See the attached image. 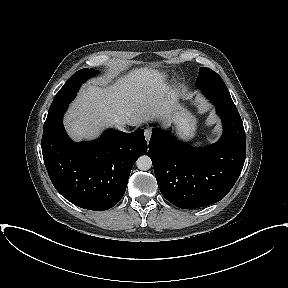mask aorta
I'll use <instances>...</instances> for the list:
<instances>
[{
    "mask_svg": "<svg viewBox=\"0 0 288 288\" xmlns=\"http://www.w3.org/2000/svg\"><path fill=\"white\" fill-rule=\"evenodd\" d=\"M136 166L139 170L147 171L152 166V161L149 156L142 155L136 161Z\"/></svg>",
    "mask_w": 288,
    "mask_h": 288,
    "instance_id": "aorta-1",
    "label": "aorta"
}]
</instances>
